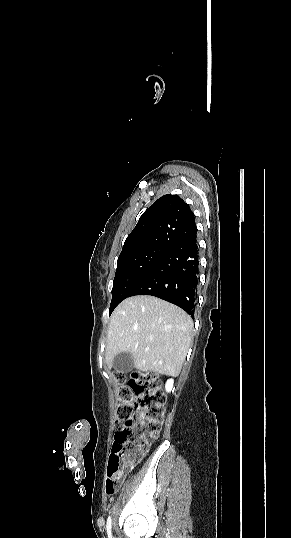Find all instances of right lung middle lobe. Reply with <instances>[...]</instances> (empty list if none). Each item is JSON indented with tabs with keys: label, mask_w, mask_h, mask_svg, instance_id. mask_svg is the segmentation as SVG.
<instances>
[{
	"label": "right lung middle lobe",
	"mask_w": 291,
	"mask_h": 538,
	"mask_svg": "<svg viewBox=\"0 0 291 538\" xmlns=\"http://www.w3.org/2000/svg\"><path fill=\"white\" fill-rule=\"evenodd\" d=\"M170 249L166 246L151 245L120 254L113 280L109 314L121 301L130 296L136 285Z\"/></svg>",
	"instance_id": "obj_1"
}]
</instances>
